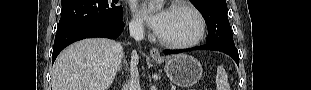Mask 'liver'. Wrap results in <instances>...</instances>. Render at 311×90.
<instances>
[{"mask_svg": "<svg viewBox=\"0 0 311 90\" xmlns=\"http://www.w3.org/2000/svg\"><path fill=\"white\" fill-rule=\"evenodd\" d=\"M123 48L119 42L91 38L64 49L52 70V90H108L113 83ZM131 61L137 66L139 57L132 52Z\"/></svg>", "mask_w": 311, "mask_h": 90, "instance_id": "liver-1", "label": "liver"}]
</instances>
